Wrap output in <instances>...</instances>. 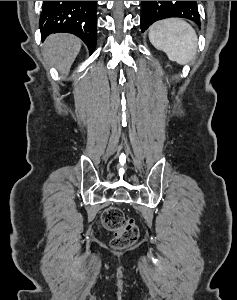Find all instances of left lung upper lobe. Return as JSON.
<instances>
[{
	"instance_id": "obj_1",
	"label": "left lung upper lobe",
	"mask_w": 237,
	"mask_h": 300,
	"mask_svg": "<svg viewBox=\"0 0 237 300\" xmlns=\"http://www.w3.org/2000/svg\"><path fill=\"white\" fill-rule=\"evenodd\" d=\"M169 17L187 18L200 24L199 15L193 9L181 8L172 1H141L142 32L155 21Z\"/></svg>"
}]
</instances>
